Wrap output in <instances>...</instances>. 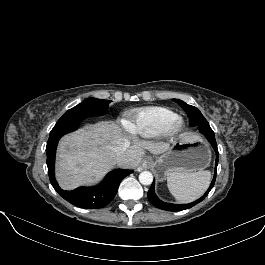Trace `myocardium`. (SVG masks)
<instances>
[{
	"label": "myocardium",
	"instance_id": "1",
	"mask_svg": "<svg viewBox=\"0 0 265 265\" xmlns=\"http://www.w3.org/2000/svg\"><path fill=\"white\" fill-rule=\"evenodd\" d=\"M185 128V121L181 116H176L166 126L163 135L172 139L178 136Z\"/></svg>",
	"mask_w": 265,
	"mask_h": 265
}]
</instances>
